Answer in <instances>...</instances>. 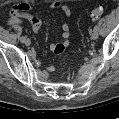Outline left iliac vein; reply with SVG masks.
Masks as SVG:
<instances>
[{"instance_id": "1", "label": "left iliac vein", "mask_w": 119, "mask_h": 119, "mask_svg": "<svg viewBox=\"0 0 119 119\" xmlns=\"http://www.w3.org/2000/svg\"><path fill=\"white\" fill-rule=\"evenodd\" d=\"M98 38V31L93 30L91 33V39L96 40Z\"/></svg>"}]
</instances>
